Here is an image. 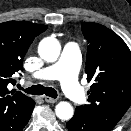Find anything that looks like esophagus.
I'll use <instances>...</instances> for the list:
<instances>
[{
  "label": "esophagus",
  "mask_w": 131,
  "mask_h": 131,
  "mask_svg": "<svg viewBox=\"0 0 131 131\" xmlns=\"http://www.w3.org/2000/svg\"><path fill=\"white\" fill-rule=\"evenodd\" d=\"M44 99L48 103H55V102H57V99L49 97V96H45Z\"/></svg>",
  "instance_id": "1"
}]
</instances>
